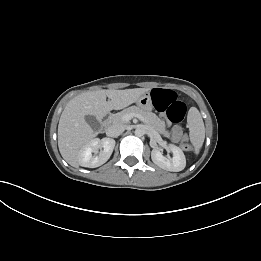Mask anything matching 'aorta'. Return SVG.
<instances>
[{
	"label": "aorta",
	"mask_w": 261,
	"mask_h": 261,
	"mask_svg": "<svg viewBox=\"0 0 261 261\" xmlns=\"http://www.w3.org/2000/svg\"><path fill=\"white\" fill-rule=\"evenodd\" d=\"M144 134V130L142 128H136L135 135L136 136H142Z\"/></svg>",
	"instance_id": "762f6f07"
}]
</instances>
